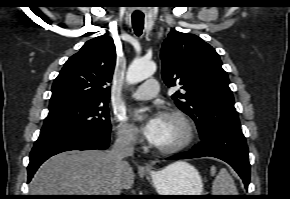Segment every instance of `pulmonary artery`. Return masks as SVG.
Instances as JSON below:
<instances>
[{
  "instance_id": "e3ab8cb5",
  "label": "pulmonary artery",
  "mask_w": 290,
  "mask_h": 199,
  "mask_svg": "<svg viewBox=\"0 0 290 199\" xmlns=\"http://www.w3.org/2000/svg\"><path fill=\"white\" fill-rule=\"evenodd\" d=\"M159 92V83L151 79L137 87L131 92V96L137 100H149L155 97Z\"/></svg>"
}]
</instances>
